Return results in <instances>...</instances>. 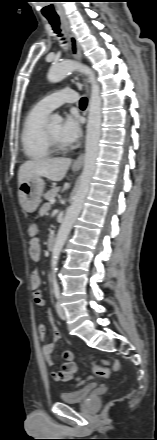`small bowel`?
Wrapping results in <instances>:
<instances>
[{
  "label": "small bowel",
  "mask_w": 157,
  "mask_h": 440,
  "mask_svg": "<svg viewBox=\"0 0 157 440\" xmlns=\"http://www.w3.org/2000/svg\"><path fill=\"white\" fill-rule=\"evenodd\" d=\"M49 206L44 205L40 213L43 214L48 210ZM29 254L33 261H39L41 257V245L38 237L30 239V247ZM30 284L33 289V300L35 304L39 306L44 305V299L41 291V280L39 273L37 271H33L30 276ZM47 318L49 322L53 325V337L52 340L48 343H44L42 346V353L45 359L46 364L49 367L55 366V360L53 357V352L55 348V344L59 341L61 334L58 328L54 325V316L51 311L47 312ZM38 335L40 341H44L46 337V327L43 324H39L38 326ZM63 362L60 365V368L57 370H53L51 372V377L56 382H65L69 381L73 378L74 374L77 371V366L74 362V354L71 350H65L62 354Z\"/></svg>",
  "instance_id": "c3829d8e"
}]
</instances>
